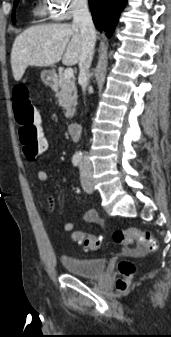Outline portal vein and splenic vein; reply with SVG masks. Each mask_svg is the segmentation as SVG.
I'll use <instances>...</instances> for the list:
<instances>
[{"instance_id":"1","label":"portal vein and splenic vein","mask_w":171,"mask_h":337,"mask_svg":"<svg viewBox=\"0 0 171 337\" xmlns=\"http://www.w3.org/2000/svg\"><path fill=\"white\" fill-rule=\"evenodd\" d=\"M64 78L71 79L73 77V69L71 67L66 68L63 74Z\"/></svg>"}]
</instances>
